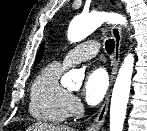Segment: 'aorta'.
I'll return each mask as SVG.
<instances>
[{"label":"aorta","instance_id":"obj_1","mask_svg":"<svg viewBox=\"0 0 147 131\" xmlns=\"http://www.w3.org/2000/svg\"><path fill=\"white\" fill-rule=\"evenodd\" d=\"M104 22L127 24L124 16L115 13L93 12L87 15H78L70 23L68 29L69 41H82ZM133 67L134 56L130 53L125 57L114 84L110 105V131L123 130ZM83 79L84 72L79 69H73L62 77L61 83L64 87L79 89Z\"/></svg>","mask_w":147,"mask_h":131}]
</instances>
